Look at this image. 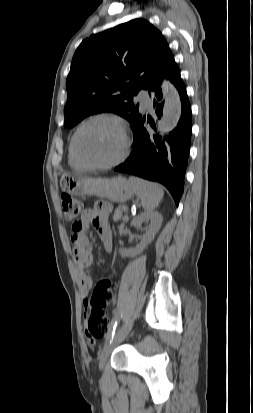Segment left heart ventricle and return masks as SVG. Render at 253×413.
<instances>
[{
  "instance_id": "1",
  "label": "left heart ventricle",
  "mask_w": 253,
  "mask_h": 413,
  "mask_svg": "<svg viewBox=\"0 0 253 413\" xmlns=\"http://www.w3.org/2000/svg\"><path fill=\"white\" fill-rule=\"evenodd\" d=\"M78 146L81 155L87 161L106 163L120 155L123 149V138L114 123L96 121L81 131Z\"/></svg>"
}]
</instances>
